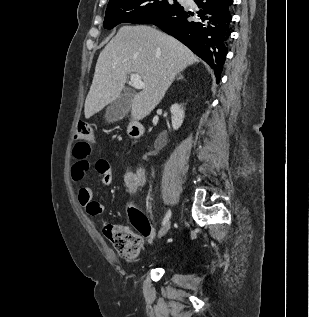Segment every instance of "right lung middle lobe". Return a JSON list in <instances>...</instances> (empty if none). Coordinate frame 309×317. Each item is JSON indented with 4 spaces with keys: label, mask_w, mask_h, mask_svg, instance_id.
Instances as JSON below:
<instances>
[{
    "label": "right lung middle lobe",
    "mask_w": 309,
    "mask_h": 317,
    "mask_svg": "<svg viewBox=\"0 0 309 317\" xmlns=\"http://www.w3.org/2000/svg\"><path fill=\"white\" fill-rule=\"evenodd\" d=\"M179 6L176 0H110L103 26L112 29L120 23H139Z\"/></svg>",
    "instance_id": "right-lung-middle-lobe-1"
}]
</instances>
